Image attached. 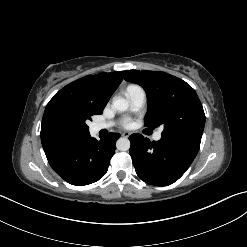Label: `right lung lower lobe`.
<instances>
[{"mask_svg": "<svg viewBox=\"0 0 247 247\" xmlns=\"http://www.w3.org/2000/svg\"><path fill=\"white\" fill-rule=\"evenodd\" d=\"M118 134H108L100 140L90 134L83 140L45 151L53 170L66 182L83 186L101 179L115 154Z\"/></svg>", "mask_w": 247, "mask_h": 247, "instance_id": "1", "label": "right lung lower lobe"}]
</instances>
